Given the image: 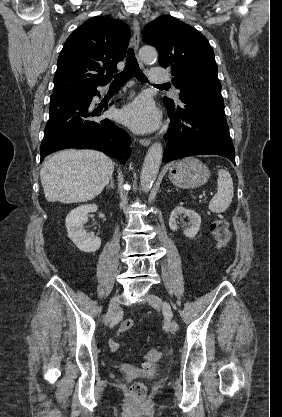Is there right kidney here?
Returning <instances> with one entry per match:
<instances>
[{"label":"right kidney","instance_id":"ca27d5eb","mask_svg":"<svg viewBox=\"0 0 282 417\" xmlns=\"http://www.w3.org/2000/svg\"><path fill=\"white\" fill-rule=\"evenodd\" d=\"M97 209V204H81L77 209L70 211L65 219L69 239L84 253H94L101 247L99 237H95L94 233H86L83 229V225L88 221V213Z\"/></svg>","mask_w":282,"mask_h":417}]
</instances>
